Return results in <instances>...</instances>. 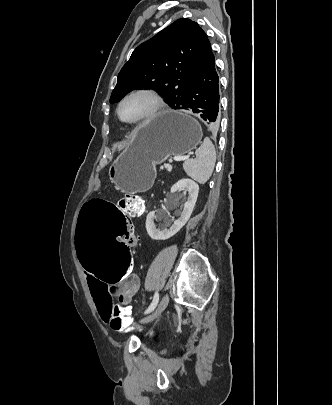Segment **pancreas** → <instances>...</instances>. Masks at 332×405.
<instances>
[{"label":"pancreas","mask_w":332,"mask_h":405,"mask_svg":"<svg viewBox=\"0 0 332 405\" xmlns=\"http://www.w3.org/2000/svg\"><path fill=\"white\" fill-rule=\"evenodd\" d=\"M162 168H166L168 171H170L172 166L170 164H164V166H162Z\"/></svg>","instance_id":"pancreas-1"}]
</instances>
